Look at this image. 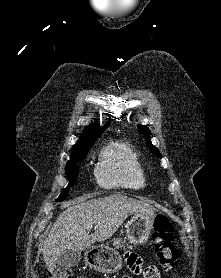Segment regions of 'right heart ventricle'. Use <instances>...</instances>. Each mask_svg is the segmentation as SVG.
Returning <instances> with one entry per match:
<instances>
[{
  "instance_id": "obj_1",
  "label": "right heart ventricle",
  "mask_w": 221,
  "mask_h": 278,
  "mask_svg": "<svg viewBox=\"0 0 221 278\" xmlns=\"http://www.w3.org/2000/svg\"><path fill=\"white\" fill-rule=\"evenodd\" d=\"M96 177L105 188L141 190L147 185L146 168L137 150L126 142L105 148L96 168Z\"/></svg>"
}]
</instances>
